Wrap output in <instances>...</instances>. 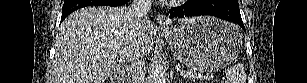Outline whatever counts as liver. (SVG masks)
I'll return each mask as SVG.
<instances>
[{
  "instance_id": "obj_1",
  "label": "liver",
  "mask_w": 307,
  "mask_h": 83,
  "mask_svg": "<svg viewBox=\"0 0 307 83\" xmlns=\"http://www.w3.org/2000/svg\"><path fill=\"white\" fill-rule=\"evenodd\" d=\"M132 23L126 6H89L70 14L56 38L53 83H105L113 69L128 61ZM155 36L150 21L137 37L143 55L153 49Z\"/></svg>"
}]
</instances>
